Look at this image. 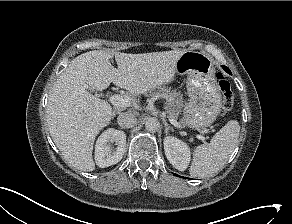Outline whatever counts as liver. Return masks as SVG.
Returning <instances> with one entry per match:
<instances>
[{
  "label": "liver",
  "instance_id": "obj_1",
  "mask_svg": "<svg viewBox=\"0 0 292 224\" xmlns=\"http://www.w3.org/2000/svg\"><path fill=\"white\" fill-rule=\"evenodd\" d=\"M183 52L95 50L74 58L54 83L46 109L49 133L68 163L81 171L95 170L94 140L112 120L110 104L87 89L102 91L113 83L133 94H144L174 78L176 62ZM113 56L118 69L110 63Z\"/></svg>",
  "mask_w": 292,
  "mask_h": 224
}]
</instances>
